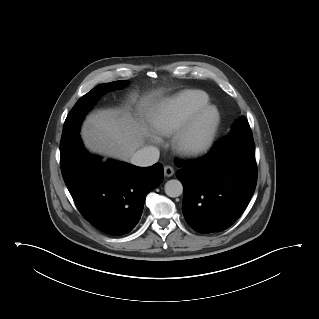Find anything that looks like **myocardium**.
Returning <instances> with one entry per match:
<instances>
[{
    "label": "myocardium",
    "instance_id": "f54148a6",
    "mask_svg": "<svg viewBox=\"0 0 319 319\" xmlns=\"http://www.w3.org/2000/svg\"><path fill=\"white\" fill-rule=\"evenodd\" d=\"M215 113V121L201 136L197 128L202 117L208 112ZM222 124V114L216 105L207 103L197 109L186 125L175 134L173 148L183 158L195 159L206 155L213 147Z\"/></svg>",
    "mask_w": 319,
    "mask_h": 319
}]
</instances>
